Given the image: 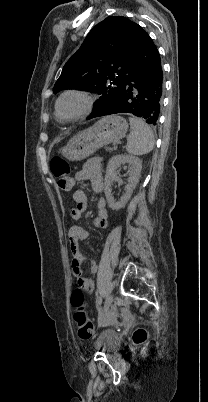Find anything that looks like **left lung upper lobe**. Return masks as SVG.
Wrapping results in <instances>:
<instances>
[{
    "label": "left lung upper lobe",
    "instance_id": "obj_1",
    "mask_svg": "<svg viewBox=\"0 0 208 402\" xmlns=\"http://www.w3.org/2000/svg\"><path fill=\"white\" fill-rule=\"evenodd\" d=\"M134 24L122 16H109L93 27L81 47L64 65L53 92L78 88L101 94L88 117L94 118L112 102L118 86L130 70L129 41Z\"/></svg>",
    "mask_w": 208,
    "mask_h": 402
}]
</instances>
